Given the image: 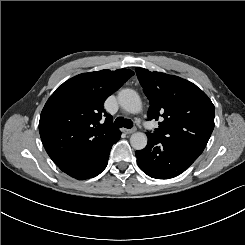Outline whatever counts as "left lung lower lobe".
I'll use <instances>...</instances> for the list:
<instances>
[{"label": "left lung lower lobe", "instance_id": "left-lung-lower-lobe-1", "mask_svg": "<svg viewBox=\"0 0 245 245\" xmlns=\"http://www.w3.org/2000/svg\"><path fill=\"white\" fill-rule=\"evenodd\" d=\"M147 146L135 152L139 168L156 179H169L180 175L198 158L185 148L147 135Z\"/></svg>", "mask_w": 245, "mask_h": 245}]
</instances>
